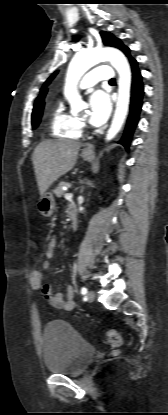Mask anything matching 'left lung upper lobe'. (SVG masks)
<instances>
[{"label":"left lung upper lobe","instance_id":"left-lung-upper-lobe-1","mask_svg":"<svg viewBox=\"0 0 168 415\" xmlns=\"http://www.w3.org/2000/svg\"><path fill=\"white\" fill-rule=\"evenodd\" d=\"M102 41L104 43V45L106 46H111V47H116L118 49H120L128 58H131L130 55V49L128 47H126L121 40H119L118 38L114 37L111 33L108 32H104L101 31L100 32ZM57 74V72H55L44 84L43 88L44 89L49 83L50 81L55 77V75Z\"/></svg>","mask_w":168,"mask_h":415}]
</instances>
